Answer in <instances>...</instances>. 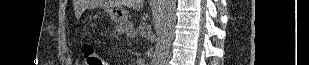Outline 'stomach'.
I'll list each match as a JSON object with an SVG mask.
<instances>
[{"mask_svg":"<svg viewBox=\"0 0 309 65\" xmlns=\"http://www.w3.org/2000/svg\"><path fill=\"white\" fill-rule=\"evenodd\" d=\"M104 11L120 27L128 24L127 11L122 6L108 5Z\"/></svg>","mask_w":309,"mask_h":65,"instance_id":"obj_1","label":"stomach"}]
</instances>
